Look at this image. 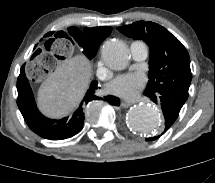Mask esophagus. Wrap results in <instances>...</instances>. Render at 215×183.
Masks as SVG:
<instances>
[{
    "instance_id": "obj_1",
    "label": "esophagus",
    "mask_w": 215,
    "mask_h": 183,
    "mask_svg": "<svg viewBox=\"0 0 215 183\" xmlns=\"http://www.w3.org/2000/svg\"><path fill=\"white\" fill-rule=\"evenodd\" d=\"M132 104H134L133 101H125V100L121 101L122 108H127V107L131 106Z\"/></svg>"
}]
</instances>
